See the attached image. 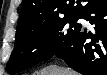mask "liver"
<instances>
[{
  "mask_svg": "<svg viewBox=\"0 0 107 75\" xmlns=\"http://www.w3.org/2000/svg\"><path fill=\"white\" fill-rule=\"evenodd\" d=\"M43 75H77L76 72L68 68L51 67L49 70L44 72Z\"/></svg>",
  "mask_w": 107,
  "mask_h": 75,
  "instance_id": "obj_1",
  "label": "liver"
}]
</instances>
